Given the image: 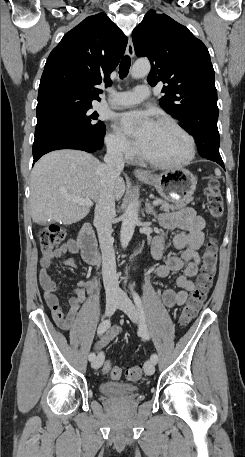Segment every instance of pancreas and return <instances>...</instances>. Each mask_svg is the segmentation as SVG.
Wrapping results in <instances>:
<instances>
[{
  "instance_id": "obj_1",
  "label": "pancreas",
  "mask_w": 245,
  "mask_h": 457,
  "mask_svg": "<svg viewBox=\"0 0 245 457\" xmlns=\"http://www.w3.org/2000/svg\"><path fill=\"white\" fill-rule=\"evenodd\" d=\"M190 200H192V198H187V200H182V202H178L177 200V202H173V204H170L167 200H161L160 210H176V208H180V206H186Z\"/></svg>"
}]
</instances>
